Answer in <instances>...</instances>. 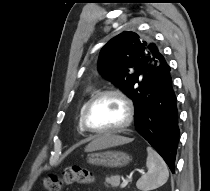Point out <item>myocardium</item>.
I'll use <instances>...</instances> for the list:
<instances>
[{"label": "myocardium", "instance_id": "obj_1", "mask_svg": "<svg viewBox=\"0 0 210 191\" xmlns=\"http://www.w3.org/2000/svg\"><path fill=\"white\" fill-rule=\"evenodd\" d=\"M105 96H115L119 98L126 108V118L122 124L114 128L108 129H96L90 126L88 122V114L91 107L101 98ZM134 119V105L131 99L122 91L118 89H108L101 92L96 93L93 95L89 101L86 103L82 114H81V124L85 131L93 133V134H112V133H119L129 127Z\"/></svg>", "mask_w": 210, "mask_h": 191}]
</instances>
